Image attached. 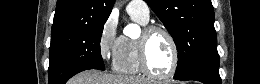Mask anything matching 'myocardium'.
<instances>
[{"label": "myocardium", "instance_id": "myocardium-1", "mask_svg": "<svg viewBox=\"0 0 260 84\" xmlns=\"http://www.w3.org/2000/svg\"><path fill=\"white\" fill-rule=\"evenodd\" d=\"M156 32H161L162 34H164L169 40L171 45L172 64L170 70L166 74H158L153 72L147 61V42L149 37ZM136 46H137L139 65L141 71L145 75L156 80H168L176 74L179 67V49L174 35L167 28L157 24L146 26L143 29L140 38L136 40Z\"/></svg>", "mask_w": 260, "mask_h": 84}]
</instances>
